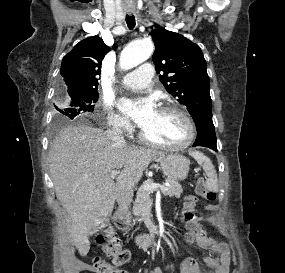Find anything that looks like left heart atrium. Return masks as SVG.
<instances>
[{
  "label": "left heart atrium",
  "mask_w": 285,
  "mask_h": 273,
  "mask_svg": "<svg viewBox=\"0 0 285 273\" xmlns=\"http://www.w3.org/2000/svg\"><path fill=\"white\" fill-rule=\"evenodd\" d=\"M119 108L141 128L148 125L158 112L156 102L152 97L124 98L120 101Z\"/></svg>",
  "instance_id": "39dd6f15"
}]
</instances>
